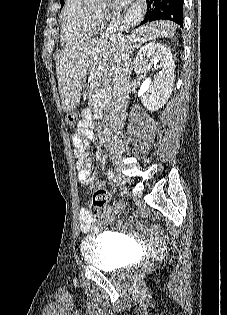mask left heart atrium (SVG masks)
Returning a JSON list of instances; mask_svg holds the SVG:
<instances>
[{
	"label": "left heart atrium",
	"instance_id": "39dd6f15",
	"mask_svg": "<svg viewBox=\"0 0 227 315\" xmlns=\"http://www.w3.org/2000/svg\"><path fill=\"white\" fill-rule=\"evenodd\" d=\"M127 2H128V0H113V5L115 7H121V6L126 5Z\"/></svg>",
	"mask_w": 227,
	"mask_h": 315
}]
</instances>
